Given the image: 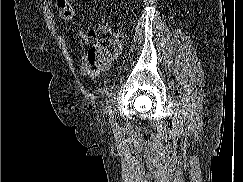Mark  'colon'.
<instances>
[{
    "label": "colon",
    "mask_w": 243,
    "mask_h": 182,
    "mask_svg": "<svg viewBox=\"0 0 243 182\" xmlns=\"http://www.w3.org/2000/svg\"><path fill=\"white\" fill-rule=\"evenodd\" d=\"M56 11L60 18L70 20L74 16L73 0H57ZM94 44L90 49L93 56L111 60L118 53V43L107 27L101 26L91 32Z\"/></svg>",
    "instance_id": "5ec220e1"
}]
</instances>
